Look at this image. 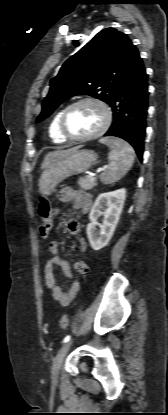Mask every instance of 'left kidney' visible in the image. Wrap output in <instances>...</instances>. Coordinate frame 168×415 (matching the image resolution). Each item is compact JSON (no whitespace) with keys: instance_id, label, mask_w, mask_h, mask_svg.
<instances>
[{"instance_id":"left-kidney-1","label":"left kidney","mask_w":168,"mask_h":415,"mask_svg":"<svg viewBox=\"0 0 168 415\" xmlns=\"http://www.w3.org/2000/svg\"><path fill=\"white\" fill-rule=\"evenodd\" d=\"M125 198V189L102 193L96 198L89 214L90 223L86 229L90 245L94 250L102 249L112 238ZM101 215L104 216L103 224L98 232L96 230L97 220Z\"/></svg>"}]
</instances>
